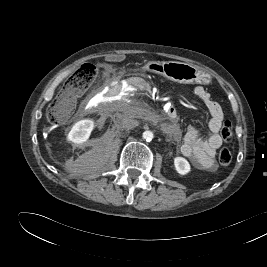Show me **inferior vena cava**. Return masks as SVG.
<instances>
[{
  "label": "inferior vena cava",
  "mask_w": 267,
  "mask_h": 267,
  "mask_svg": "<svg viewBox=\"0 0 267 267\" xmlns=\"http://www.w3.org/2000/svg\"><path fill=\"white\" fill-rule=\"evenodd\" d=\"M119 124L125 129H133L138 126L139 123L132 117L125 115L123 118H121Z\"/></svg>",
  "instance_id": "obj_1"
}]
</instances>
